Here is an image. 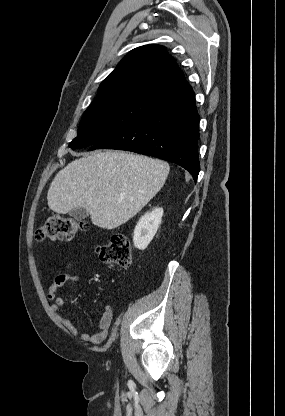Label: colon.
<instances>
[{
	"instance_id": "obj_1",
	"label": "colon",
	"mask_w": 285,
	"mask_h": 416,
	"mask_svg": "<svg viewBox=\"0 0 285 416\" xmlns=\"http://www.w3.org/2000/svg\"><path fill=\"white\" fill-rule=\"evenodd\" d=\"M87 229L88 224L85 221L53 215L38 228L36 238L49 241L72 240ZM100 258L108 265L128 267L131 262V251L127 237L123 234L113 235L109 243L100 249Z\"/></svg>"
}]
</instances>
